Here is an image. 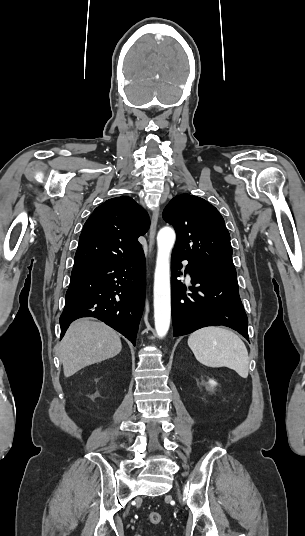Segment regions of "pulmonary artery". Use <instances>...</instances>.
Listing matches in <instances>:
<instances>
[{
	"label": "pulmonary artery",
	"mask_w": 305,
	"mask_h": 536,
	"mask_svg": "<svg viewBox=\"0 0 305 536\" xmlns=\"http://www.w3.org/2000/svg\"><path fill=\"white\" fill-rule=\"evenodd\" d=\"M184 268L186 269V264H185ZM187 278L191 279L190 273L188 271H187Z\"/></svg>",
	"instance_id": "obj_1"
}]
</instances>
